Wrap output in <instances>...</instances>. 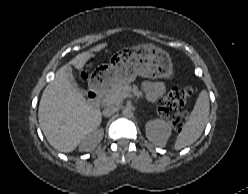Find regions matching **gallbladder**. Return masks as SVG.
Instances as JSON below:
<instances>
[{
  "label": "gallbladder",
  "mask_w": 248,
  "mask_h": 194,
  "mask_svg": "<svg viewBox=\"0 0 248 194\" xmlns=\"http://www.w3.org/2000/svg\"><path fill=\"white\" fill-rule=\"evenodd\" d=\"M66 73H67V77H68V80H69V82L71 83V85H72L78 92L83 93V90L80 89V88L78 87V85H77V83H76V81H75V79H74V77H73V75H72V69H71V67H67V68H66Z\"/></svg>",
  "instance_id": "1"
}]
</instances>
